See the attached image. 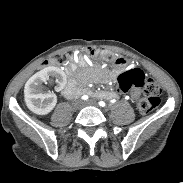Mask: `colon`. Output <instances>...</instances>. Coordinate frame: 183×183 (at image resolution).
Instances as JSON below:
<instances>
[{"label": "colon", "instance_id": "obj_1", "mask_svg": "<svg viewBox=\"0 0 183 183\" xmlns=\"http://www.w3.org/2000/svg\"><path fill=\"white\" fill-rule=\"evenodd\" d=\"M85 52L89 57L101 58L106 62L119 61L114 53L99 48L88 47ZM66 61L67 55L65 53H59L46 60L42 66L63 65ZM117 85L115 93L118 96H123L126 92L134 88L140 89L137 96V108L143 114L153 111L160 103V85L154 79L146 77L139 69H131L121 73L118 77Z\"/></svg>", "mask_w": 183, "mask_h": 183}]
</instances>
